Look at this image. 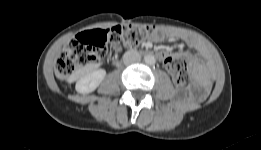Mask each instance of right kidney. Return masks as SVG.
Masks as SVG:
<instances>
[{"label":"right kidney","instance_id":"right-kidney-1","mask_svg":"<svg viewBox=\"0 0 261 150\" xmlns=\"http://www.w3.org/2000/svg\"><path fill=\"white\" fill-rule=\"evenodd\" d=\"M106 76L104 69H98L85 74L76 83V91L82 94L93 92Z\"/></svg>","mask_w":261,"mask_h":150}]
</instances>
